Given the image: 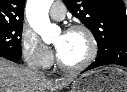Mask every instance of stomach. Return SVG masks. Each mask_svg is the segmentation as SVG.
Masks as SVG:
<instances>
[{"label":"stomach","mask_w":127,"mask_h":92,"mask_svg":"<svg viewBox=\"0 0 127 92\" xmlns=\"http://www.w3.org/2000/svg\"><path fill=\"white\" fill-rule=\"evenodd\" d=\"M71 92H127V72L117 67L90 71L73 82Z\"/></svg>","instance_id":"1"}]
</instances>
